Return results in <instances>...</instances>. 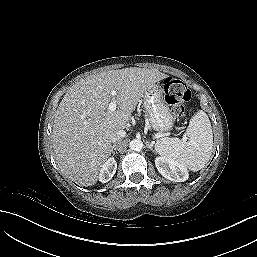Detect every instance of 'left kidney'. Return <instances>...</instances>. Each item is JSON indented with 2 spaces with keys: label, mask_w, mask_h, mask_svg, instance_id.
<instances>
[{
  "label": "left kidney",
  "mask_w": 257,
  "mask_h": 257,
  "mask_svg": "<svg viewBox=\"0 0 257 257\" xmlns=\"http://www.w3.org/2000/svg\"><path fill=\"white\" fill-rule=\"evenodd\" d=\"M155 165L159 173L174 182H184L188 179L187 169L175 160L157 157Z\"/></svg>",
  "instance_id": "left-kidney-1"
}]
</instances>
